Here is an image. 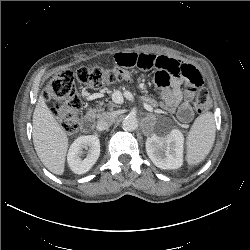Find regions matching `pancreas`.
<instances>
[{
    "label": "pancreas",
    "mask_w": 250,
    "mask_h": 250,
    "mask_svg": "<svg viewBox=\"0 0 250 250\" xmlns=\"http://www.w3.org/2000/svg\"><path fill=\"white\" fill-rule=\"evenodd\" d=\"M155 105H157V104L155 103ZM105 107H106V105L104 104V102L103 101H99L98 107L95 108V109H93L92 112H94L99 117L104 112ZM108 107H109L110 110H113L114 107H117V105L109 101Z\"/></svg>",
    "instance_id": "obj_1"
}]
</instances>
